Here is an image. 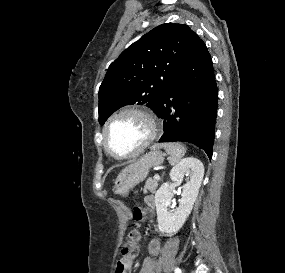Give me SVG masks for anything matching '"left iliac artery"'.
I'll return each mask as SVG.
<instances>
[{"label": "left iliac artery", "mask_w": 285, "mask_h": 273, "mask_svg": "<svg viewBox=\"0 0 285 273\" xmlns=\"http://www.w3.org/2000/svg\"><path fill=\"white\" fill-rule=\"evenodd\" d=\"M174 271H175V273H182L181 269L178 267H176Z\"/></svg>", "instance_id": "obj_1"}]
</instances>
